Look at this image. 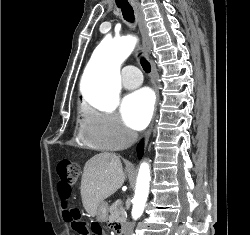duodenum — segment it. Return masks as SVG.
Returning a JSON list of instances; mask_svg holds the SVG:
<instances>
[{
    "mask_svg": "<svg viewBox=\"0 0 250 235\" xmlns=\"http://www.w3.org/2000/svg\"><path fill=\"white\" fill-rule=\"evenodd\" d=\"M113 231H114L115 235H122V231H121V228L119 226H115L113 228Z\"/></svg>",
    "mask_w": 250,
    "mask_h": 235,
    "instance_id": "1",
    "label": "duodenum"
}]
</instances>
